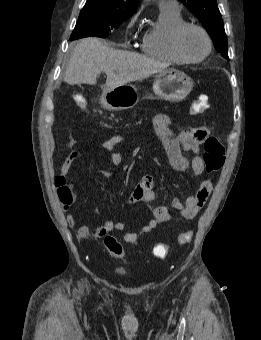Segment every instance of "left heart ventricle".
I'll return each mask as SVG.
<instances>
[{
	"instance_id": "1",
	"label": "left heart ventricle",
	"mask_w": 261,
	"mask_h": 340,
	"mask_svg": "<svg viewBox=\"0 0 261 340\" xmlns=\"http://www.w3.org/2000/svg\"><path fill=\"white\" fill-rule=\"evenodd\" d=\"M180 47L187 57L197 59L206 53L207 42L198 29L188 28L181 36Z\"/></svg>"
}]
</instances>
